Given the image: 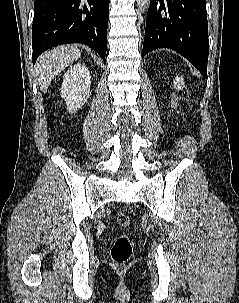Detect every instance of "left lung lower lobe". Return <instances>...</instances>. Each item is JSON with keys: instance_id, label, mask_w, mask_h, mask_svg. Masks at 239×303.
Returning <instances> with one entry per match:
<instances>
[{"instance_id": "obj_1", "label": "left lung lower lobe", "mask_w": 239, "mask_h": 303, "mask_svg": "<svg viewBox=\"0 0 239 303\" xmlns=\"http://www.w3.org/2000/svg\"><path fill=\"white\" fill-rule=\"evenodd\" d=\"M157 48L178 52L207 77L205 0H150L142 56Z\"/></svg>"}]
</instances>
